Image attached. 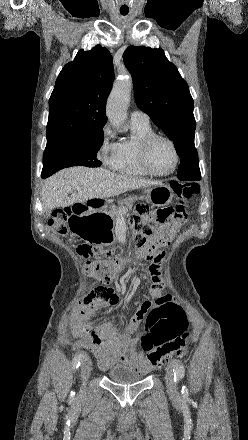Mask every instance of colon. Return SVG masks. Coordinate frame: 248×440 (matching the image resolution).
<instances>
[{
  "mask_svg": "<svg viewBox=\"0 0 248 440\" xmlns=\"http://www.w3.org/2000/svg\"><path fill=\"white\" fill-rule=\"evenodd\" d=\"M172 188L179 197V204L174 208H163L154 213L144 206L136 209L133 219L136 243L140 255L145 259L159 257L162 260V247L170 243L179 228L191 217L190 204L199 193L198 184L176 181ZM70 218L79 217L69 208L57 209L49 220V226L57 233L65 234L69 231ZM77 252L88 260L87 272L103 283H108L123 265L121 260L113 258V250L105 251L101 247L81 243ZM113 297L112 289L102 287L87 293L82 307L88 308L100 299L110 300ZM187 338V321L180 306L172 300L170 303H155L147 315L146 331L141 338L142 348L152 364L156 366L172 354H182Z\"/></svg>",
  "mask_w": 248,
  "mask_h": 440,
  "instance_id": "obj_1",
  "label": "colon"
}]
</instances>
